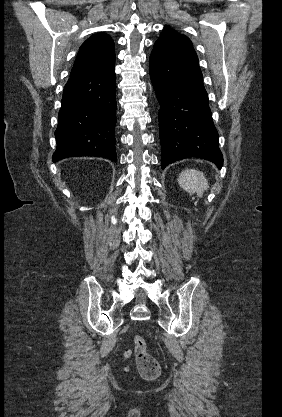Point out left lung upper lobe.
Returning a JSON list of instances; mask_svg holds the SVG:
<instances>
[{
  "mask_svg": "<svg viewBox=\"0 0 282 417\" xmlns=\"http://www.w3.org/2000/svg\"><path fill=\"white\" fill-rule=\"evenodd\" d=\"M158 43L160 42H170V43H179L185 46H191V41L185 36L177 33L175 30H173L170 26H166L161 33L159 39L156 41Z\"/></svg>",
  "mask_w": 282,
  "mask_h": 417,
  "instance_id": "5c2ea615",
  "label": "left lung upper lobe"
}]
</instances>
